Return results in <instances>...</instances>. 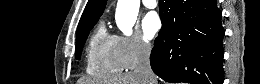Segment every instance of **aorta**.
Listing matches in <instances>:
<instances>
[{"label":"aorta","instance_id":"obj_1","mask_svg":"<svg viewBox=\"0 0 260 84\" xmlns=\"http://www.w3.org/2000/svg\"><path fill=\"white\" fill-rule=\"evenodd\" d=\"M140 0H118L115 21L118 28L125 34L131 35L137 20Z\"/></svg>","mask_w":260,"mask_h":84}]
</instances>
